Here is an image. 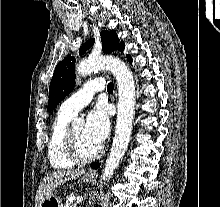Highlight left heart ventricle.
Listing matches in <instances>:
<instances>
[{"mask_svg": "<svg viewBox=\"0 0 220 207\" xmlns=\"http://www.w3.org/2000/svg\"><path fill=\"white\" fill-rule=\"evenodd\" d=\"M73 134L78 150L83 156H90L99 149V147L86 136L83 126L73 127Z\"/></svg>", "mask_w": 220, "mask_h": 207, "instance_id": "left-heart-ventricle-1", "label": "left heart ventricle"}]
</instances>
